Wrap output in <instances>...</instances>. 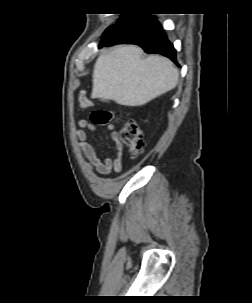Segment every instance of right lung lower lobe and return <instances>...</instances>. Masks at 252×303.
<instances>
[{"label":"right lung lower lobe","instance_id":"1","mask_svg":"<svg viewBox=\"0 0 252 303\" xmlns=\"http://www.w3.org/2000/svg\"><path fill=\"white\" fill-rule=\"evenodd\" d=\"M119 43L139 45L146 53L161 54L178 65L173 45L163 33L160 23L148 14L124 15L103 36L100 47Z\"/></svg>","mask_w":252,"mask_h":303}]
</instances>
